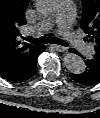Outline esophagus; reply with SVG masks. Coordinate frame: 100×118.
<instances>
[{"instance_id": "esophagus-1", "label": "esophagus", "mask_w": 100, "mask_h": 118, "mask_svg": "<svg viewBox=\"0 0 100 118\" xmlns=\"http://www.w3.org/2000/svg\"><path fill=\"white\" fill-rule=\"evenodd\" d=\"M50 47L59 52H64L66 50V47L60 45L51 44Z\"/></svg>"}]
</instances>
